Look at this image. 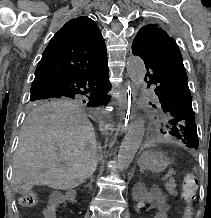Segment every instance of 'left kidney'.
<instances>
[{
  "mask_svg": "<svg viewBox=\"0 0 211 218\" xmlns=\"http://www.w3.org/2000/svg\"><path fill=\"white\" fill-rule=\"evenodd\" d=\"M155 207L153 218H164V215H169L172 212V207H166V198H151L150 192H148L147 198H139V202H136L135 214L145 215L146 207Z\"/></svg>",
  "mask_w": 211,
  "mask_h": 218,
  "instance_id": "5707ae66",
  "label": "left kidney"
}]
</instances>
